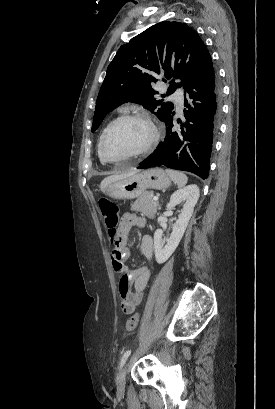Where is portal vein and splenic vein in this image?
Listing matches in <instances>:
<instances>
[{
    "label": "portal vein and splenic vein",
    "mask_w": 275,
    "mask_h": 409,
    "mask_svg": "<svg viewBox=\"0 0 275 409\" xmlns=\"http://www.w3.org/2000/svg\"><path fill=\"white\" fill-rule=\"evenodd\" d=\"M159 196H154L153 200H158Z\"/></svg>",
    "instance_id": "18ae733b"
}]
</instances>
